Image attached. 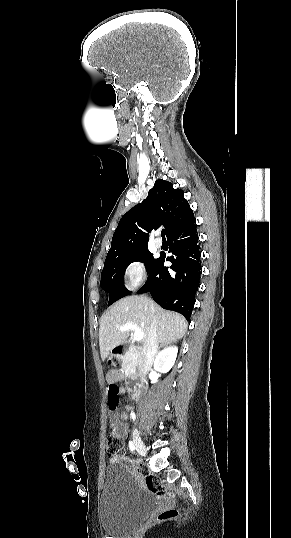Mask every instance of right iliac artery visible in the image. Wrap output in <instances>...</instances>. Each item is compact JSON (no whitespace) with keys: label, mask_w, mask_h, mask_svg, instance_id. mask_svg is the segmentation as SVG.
<instances>
[{"label":"right iliac artery","mask_w":291,"mask_h":538,"mask_svg":"<svg viewBox=\"0 0 291 538\" xmlns=\"http://www.w3.org/2000/svg\"><path fill=\"white\" fill-rule=\"evenodd\" d=\"M129 449L132 452L135 450V446H134V443L132 441H129Z\"/></svg>","instance_id":"right-iliac-artery-1"}]
</instances>
